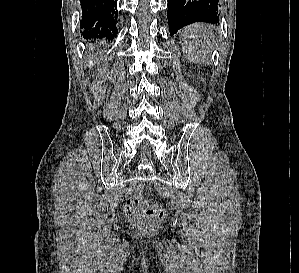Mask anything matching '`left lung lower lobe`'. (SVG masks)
<instances>
[{
	"instance_id": "left-lung-lower-lobe-1",
	"label": "left lung lower lobe",
	"mask_w": 299,
	"mask_h": 273,
	"mask_svg": "<svg viewBox=\"0 0 299 273\" xmlns=\"http://www.w3.org/2000/svg\"><path fill=\"white\" fill-rule=\"evenodd\" d=\"M218 13V0H168L170 35L194 22L215 24L219 22Z\"/></svg>"
}]
</instances>
